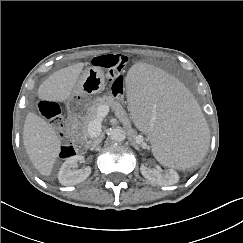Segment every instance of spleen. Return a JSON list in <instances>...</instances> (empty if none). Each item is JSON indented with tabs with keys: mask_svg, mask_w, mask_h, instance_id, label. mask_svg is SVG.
Segmentation results:
<instances>
[{
	"mask_svg": "<svg viewBox=\"0 0 243 243\" xmlns=\"http://www.w3.org/2000/svg\"><path fill=\"white\" fill-rule=\"evenodd\" d=\"M125 87L135 124L159 162L170 170L193 169L205 156L210 134L191 93L147 65L133 67Z\"/></svg>",
	"mask_w": 243,
	"mask_h": 243,
	"instance_id": "3e777b00",
	"label": "spleen"
}]
</instances>
